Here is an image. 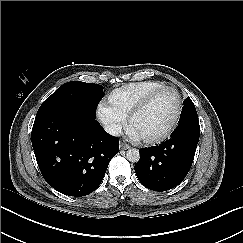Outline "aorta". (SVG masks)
<instances>
[{
	"label": "aorta",
	"mask_w": 243,
	"mask_h": 243,
	"mask_svg": "<svg viewBox=\"0 0 243 243\" xmlns=\"http://www.w3.org/2000/svg\"><path fill=\"white\" fill-rule=\"evenodd\" d=\"M126 158L128 161L132 163H136L140 159V153L139 150L136 148H131L126 152Z\"/></svg>",
	"instance_id": "762f6f07"
}]
</instances>
